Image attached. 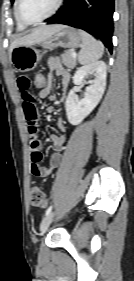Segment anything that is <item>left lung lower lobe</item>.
Returning <instances> with one entry per match:
<instances>
[{"mask_svg": "<svg viewBox=\"0 0 134 281\" xmlns=\"http://www.w3.org/2000/svg\"><path fill=\"white\" fill-rule=\"evenodd\" d=\"M114 0H66L48 24H66L96 35L112 53Z\"/></svg>", "mask_w": 134, "mask_h": 281, "instance_id": "1", "label": "left lung lower lobe"}]
</instances>
